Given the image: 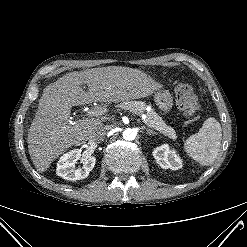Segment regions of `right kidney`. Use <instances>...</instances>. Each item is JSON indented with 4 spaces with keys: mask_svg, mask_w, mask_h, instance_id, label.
<instances>
[{
    "mask_svg": "<svg viewBox=\"0 0 247 247\" xmlns=\"http://www.w3.org/2000/svg\"><path fill=\"white\" fill-rule=\"evenodd\" d=\"M79 157L80 151L78 149H74L63 154L57 163V175L69 181H76L86 178L90 171L94 168L96 158L93 156H86L82 168L75 169V163Z\"/></svg>",
    "mask_w": 247,
    "mask_h": 247,
    "instance_id": "ca27d5eb",
    "label": "right kidney"
}]
</instances>
